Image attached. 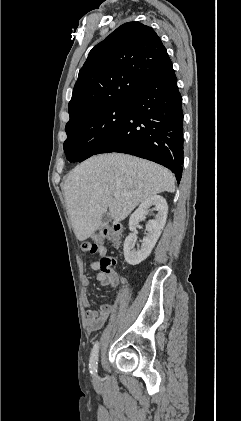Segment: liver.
Listing matches in <instances>:
<instances>
[{
	"instance_id": "6515ba94",
	"label": "liver",
	"mask_w": 241,
	"mask_h": 421,
	"mask_svg": "<svg viewBox=\"0 0 241 421\" xmlns=\"http://www.w3.org/2000/svg\"><path fill=\"white\" fill-rule=\"evenodd\" d=\"M165 191H175V177L168 169L121 153L90 157L69 173L64 184L68 214L79 241L95 232L108 209L118 223L139 203ZM115 192L120 196L113 198Z\"/></svg>"
}]
</instances>
